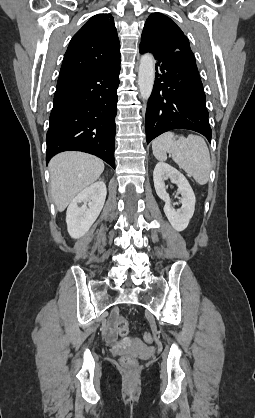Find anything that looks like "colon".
<instances>
[{"instance_id": "1", "label": "colon", "mask_w": 255, "mask_h": 418, "mask_svg": "<svg viewBox=\"0 0 255 418\" xmlns=\"http://www.w3.org/2000/svg\"><path fill=\"white\" fill-rule=\"evenodd\" d=\"M113 324L121 336H125L128 333V322L123 316L116 314L114 316ZM153 338L154 336L151 332L144 333V339L146 342H151ZM120 362L127 369H134L138 364L137 359L131 355L122 356L120 358Z\"/></svg>"}]
</instances>
